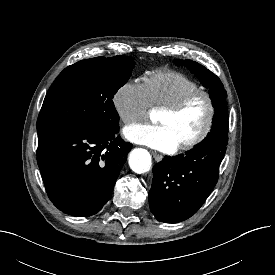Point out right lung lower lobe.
Instances as JSON below:
<instances>
[{
	"label": "right lung lower lobe",
	"instance_id": "obj_1",
	"mask_svg": "<svg viewBox=\"0 0 275 275\" xmlns=\"http://www.w3.org/2000/svg\"><path fill=\"white\" fill-rule=\"evenodd\" d=\"M118 129H70L40 138L37 163L47 194L62 212L87 217L109 200L132 144Z\"/></svg>",
	"mask_w": 275,
	"mask_h": 275
}]
</instances>
